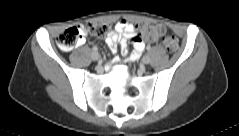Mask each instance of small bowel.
<instances>
[{
  "mask_svg": "<svg viewBox=\"0 0 239 136\" xmlns=\"http://www.w3.org/2000/svg\"><path fill=\"white\" fill-rule=\"evenodd\" d=\"M85 40V37H82L80 42ZM106 43L114 54L120 48L122 55L132 61L137 60L145 48L144 42L136 36L135 27L126 20H120L114 25L113 30L106 36ZM130 44L133 46L132 51L129 49Z\"/></svg>",
  "mask_w": 239,
  "mask_h": 136,
  "instance_id": "1",
  "label": "small bowel"
}]
</instances>
